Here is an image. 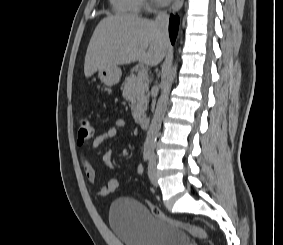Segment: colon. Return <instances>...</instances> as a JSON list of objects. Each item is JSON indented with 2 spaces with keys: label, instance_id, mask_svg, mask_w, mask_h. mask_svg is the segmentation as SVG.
<instances>
[{
  "label": "colon",
  "instance_id": "1",
  "mask_svg": "<svg viewBox=\"0 0 283 245\" xmlns=\"http://www.w3.org/2000/svg\"><path fill=\"white\" fill-rule=\"evenodd\" d=\"M93 136V126L88 116L82 115L78 120V132H77V142L79 144H84L88 142ZM106 189L108 193H113L118 189V180L115 178L110 179L107 182ZM149 209L157 218L165 221L166 223L182 229L189 234L193 235L202 240H208L209 234L208 232L196 225L186 223L183 221L176 220L167 214H165L159 207L153 204H149Z\"/></svg>",
  "mask_w": 283,
  "mask_h": 245
}]
</instances>
